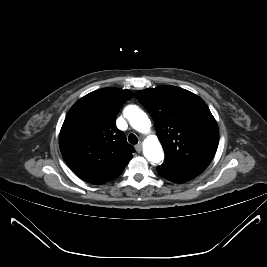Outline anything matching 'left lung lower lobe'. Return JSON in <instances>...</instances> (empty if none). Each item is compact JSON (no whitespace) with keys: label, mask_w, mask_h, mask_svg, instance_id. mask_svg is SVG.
I'll return each instance as SVG.
<instances>
[{"label":"left lung lower lobe","mask_w":267,"mask_h":267,"mask_svg":"<svg viewBox=\"0 0 267 267\" xmlns=\"http://www.w3.org/2000/svg\"><path fill=\"white\" fill-rule=\"evenodd\" d=\"M157 171L161 177L175 183H184L198 176L186 170L179 169L167 164L158 166Z\"/></svg>","instance_id":"obj_1"}]
</instances>
